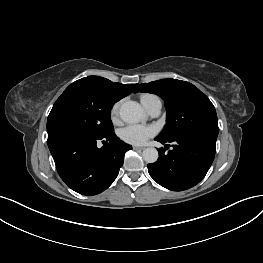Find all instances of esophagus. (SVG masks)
<instances>
[{
    "label": "esophagus",
    "mask_w": 263,
    "mask_h": 263,
    "mask_svg": "<svg viewBox=\"0 0 263 263\" xmlns=\"http://www.w3.org/2000/svg\"><path fill=\"white\" fill-rule=\"evenodd\" d=\"M133 149H134V150H143L144 147L133 146Z\"/></svg>",
    "instance_id": "1"
}]
</instances>
